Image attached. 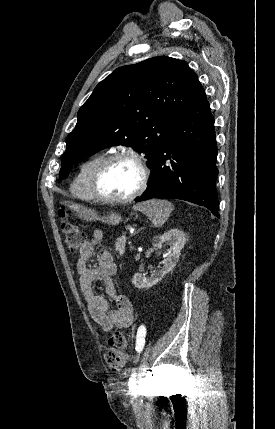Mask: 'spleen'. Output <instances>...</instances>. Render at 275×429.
<instances>
[{
    "label": "spleen",
    "instance_id": "1",
    "mask_svg": "<svg viewBox=\"0 0 275 429\" xmlns=\"http://www.w3.org/2000/svg\"><path fill=\"white\" fill-rule=\"evenodd\" d=\"M133 209L148 216L155 226H162L170 216L174 206L167 200L152 199L133 206Z\"/></svg>",
    "mask_w": 275,
    "mask_h": 429
}]
</instances>
